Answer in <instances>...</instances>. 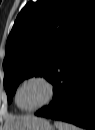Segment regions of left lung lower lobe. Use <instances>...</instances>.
<instances>
[{
  "instance_id": "left-lung-lower-lobe-1",
  "label": "left lung lower lobe",
  "mask_w": 95,
  "mask_h": 130,
  "mask_svg": "<svg viewBox=\"0 0 95 130\" xmlns=\"http://www.w3.org/2000/svg\"><path fill=\"white\" fill-rule=\"evenodd\" d=\"M51 83L53 102L35 115L95 128V13L79 26Z\"/></svg>"
}]
</instances>
